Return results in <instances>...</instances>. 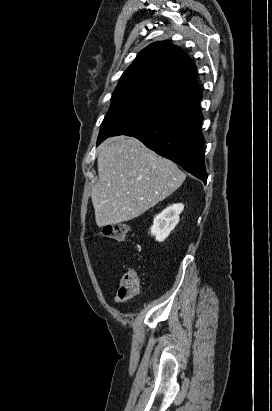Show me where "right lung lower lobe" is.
<instances>
[{
  "mask_svg": "<svg viewBox=\"0 0 272 411\" xmlns=\"http://www.w3.org/2000/svg\"><path fill=\"white\" fill-rule=\"evenodd\" d=\"M202 120L198 100L125 135L136 137L157 154L176 162L206 183ZM107 137H98V144Z\"/></svg>",
  "mask_w": 272,
  "mask_h": 411,
  "instance_id": "98d812e1",
  "label": "right lung lower lobe"
}]
</instances>
